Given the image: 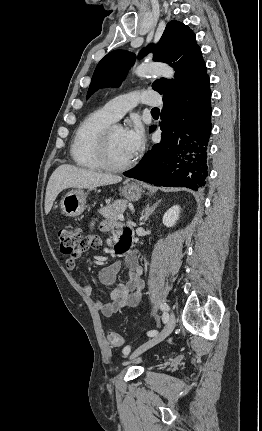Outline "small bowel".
<instances>
[{"label":"small bowel","instance_id":"c3829d8e","mask_svg":"<svg viewBox=\"0 0 262 431\" xmlns=\"http://www.w3.org/2000/svg\"><path fill=\"white\" fill-rule=\"evenodd\" d=\"M101 228L103 230H109L113 228V225L107 222L102 223ZM117 237L120 239L126 238L128 242L132 237V229L123 225H117L116 227ZM100 247V242L97 246H93L90 249L97 250ZM126 248V247H125ZM124 248V249H125ZM78 256L68 258L66 260V267L72 270L76 266ZM124 265L128 271V281L125 284H115L117 274L121 268V262L116 261L111 265L103 268L99 272L100 281L107 285H115V289L111 292L110 300L104 301L96 299L95 306L105 317H111L118 310L125 307H136L140 303L141 292L144 288V282L142 280V268L138 260V252L135 250L127 251L124 255ZM79 289L92 296L93 291L89 284L79 282L77 283Z\"/></svg>","mask_w":262,"mask_h":431}]
</instances>
